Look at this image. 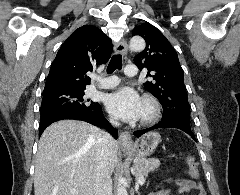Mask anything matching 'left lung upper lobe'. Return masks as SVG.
<instances>
[{"label":"left lung upper lobe","instance_id":"obj_1","mask_svg":"<svg viewBox=\"0 0 240 195\" xmlns=\"http://www.w3.org/2000/svg\"><path fill=\"white\" fill-rule=\"evenodd\" d=\"M132 35L142 36L146 41L145 50L135 56L134 62L140 70H148L147 76L152 80L144 83V87L162 104V120L190 124L184 73L176 51L166 37L149 23L135 27Z\"/></svg>","mask_w":240,"mask_h":195}]
</instances>
